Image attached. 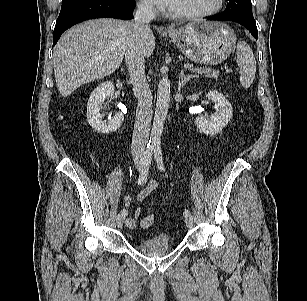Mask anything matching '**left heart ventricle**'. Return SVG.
<instances>
[{
    "label": "left heart ventricle",
    "instance_id": "obj_1",
    "mask_svg": "<svg viewBox=\"0 0 307 301\" xmlns=\"http://www.w3.org/2000/svg\"><path fill=\"white\" fill-rule=\"evenodd\" d=\"M216 0H176L171 8L173 12H196L214 6Z\"/></svg>",
    "mask_w": 307,
    "mask_h": 301
}]
</instances>
